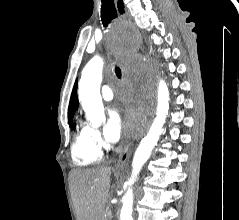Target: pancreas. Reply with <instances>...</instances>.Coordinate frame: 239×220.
I'll use <instances>...</instances> for the list:
<instances>
[{
	"label": "pancreas",
	"mask_w": 239,
	"mask_h": 220,
	"mask_svg": "<svg viewBox=\"0 0 239 220\" xmlns=\"http://www.w3.org/2000/svg\"><path fill=\"white\" fill-rule=\"evenodd\" d=\"M110 215H111L110 209H109V207H107V208L103 211L102 220H109Z\"/></svg>",
	"instance_id": "pancreas-1"
}]
</instances>
